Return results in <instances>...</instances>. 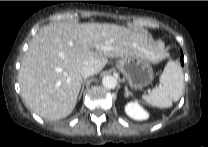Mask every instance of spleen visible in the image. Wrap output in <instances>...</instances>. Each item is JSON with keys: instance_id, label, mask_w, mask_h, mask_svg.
I'll return each instance as SVG.
<instances>
[{"instance_id": "1", "label": "spleen", "mask_w": 208, "mask_h": 147, "mask_svg": "<svg viewBox=\"0 0 208 147\" xmlns=\"http://www.w3.org/2000/svg\"><path fill=\"white\" fill-rule=\"evenodd\" d=\"M184 90V77L180 65L169 61L160 76V85L142 98L152 106L169 108L173 101H178Z\"/></svg>"}]
</instances>
